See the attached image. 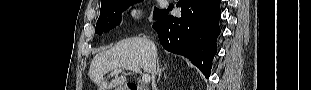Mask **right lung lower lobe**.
Returning <instances> with one entry per match:
<instances>
[{"label": "right lung lower lobe", "instance_id": "obj_1", "mask_svg": "<svg viewBox=\"0 0 311 90\" xmlns=\"http://www.w3.org/2000/svg\"><path fill=\"white\" fill-rule=\"evenodd\" d=\"M177 7H181L180 18L168 15L170 5L153 28L166 50L187 57L209 77L220 34V0H180Z\"/></svg>", "mask_w": 311, "mask_h": 90}]
</instances>
